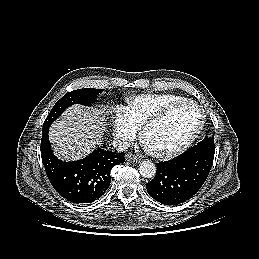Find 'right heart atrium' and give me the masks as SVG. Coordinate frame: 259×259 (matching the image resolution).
I'll return each mask as SVG.
<instances>
[{
	"mask_svg": "<svg viewBox=\"0 0 259 259\" xmlns=\"http://www.w3.org/2000/svg\"><path fill=\"white\" fill-rule=\"evenodd\" d=\"M111 124L116 141L127 146L136 138L138 128L129 119L125 108L117 107L112 114Z\"/></svg>",
	"mask_w": 259,
	"mask_h": 259,
	"instance_id": "1",
	"label": "right heart atrium"
}]
</instances>
